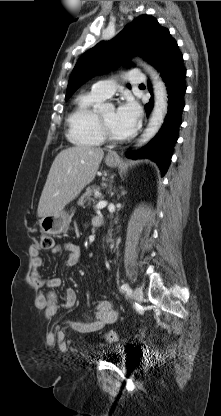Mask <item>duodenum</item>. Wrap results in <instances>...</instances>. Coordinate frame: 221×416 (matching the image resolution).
Here are the masks:
<instances>
[{"mask_svg": "<svg viewBox=\"0 0 221 416\" xmlns=\"http://www.w3.org/2000/svg\"><path fill=\"white\" fill-rule=\"evenodd\" d=\"M103 223H104V219H103V218L98 217V218L96 219V226L100 227V226H102V225H103Z\"/></svg>", "mask_w": 221, "mask_h": 416, "instance_id": "obj_1", "label": "duodenum"}]
</instances>
